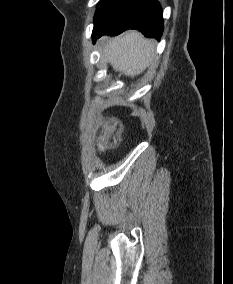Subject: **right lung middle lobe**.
Listing matches in <instances>:
<instances>
[{"instance_id": "1", "label": "right lung middle lobe", "mask_w": 233, "mask_h": 284, "mask_svg": "<svg viewBox=\"0 0 233 284\" xmlns=\"http://www.w3.org/2000/svg\"><path fill=\"white\" fill-rule=\"evenodd\" d=\"M112 1L113 0H100V2L97 5V10H96V14L94 17V21L104 12V10L109 6V4Z\"/></svg>"}]
</instances>
